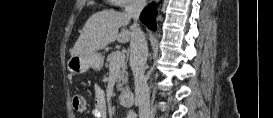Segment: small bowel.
Returning <instances> with one entry per match:
<instances>
[{
  "label": "small bowel",
  "mask_w": 273,
  "mask_h": 118,
  "mask_svg": "<svg viewBox=\"0 0 273 118\" xmlns=\"http://www.w3.org/2000/svg\"><path fill=\"white\" fill-rule=\"evenodd\" d=\"M91 115L93 118H106L107 116L106 95L99 86L95 87Z\"/></svg>",
  "instance_id": "1"
}]
</instances>
